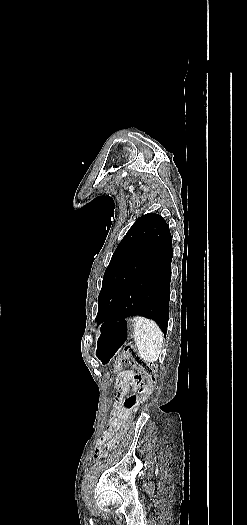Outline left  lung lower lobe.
<instances>
[{"instance_id":"0a47b994","label":"left lung lower lobe","mask_w":247,"mask_h":525,"mask_svg":"<svg viewBox=\"0 0 247 525\" xmlns=\"http://www.w3.org/2000/svg\"><path fill=\"white\" fill-rule=\"evenodd\" d=\"M172 236L165 233L144 271L104 317L111 323L130 316H144L156 321L166 335L169 318Z\"/></svg>"}]
</instances>
